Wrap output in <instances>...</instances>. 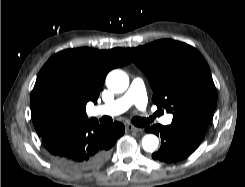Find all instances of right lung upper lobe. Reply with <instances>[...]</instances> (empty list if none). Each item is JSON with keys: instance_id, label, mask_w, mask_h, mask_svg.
<instances>
[{"instance_id": "1", "label": "right lung upper lobe", "mask_w": 245, "mask_h": 187, "mask_svg": "<svg viewBox=\"0 0 245 187\" xmlns=\"http://www.w3.org/2000/svg\"><path fill=\"white\" fill-rule=\"evenodd\" d=\"M131 61L122 48L67 49L54 54L42 67L30 97L31 115L39 136L64 124L88 120L86 104L97 103L107 73ZM56 90L65 98L62 110L42 102L43 94Z\"/></svg>"}]
</instances>
